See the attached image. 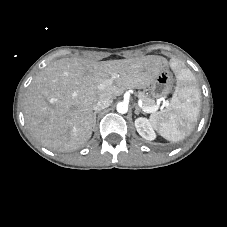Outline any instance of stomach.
<instances>
[{
  "label": "stomach",
  "mask_w": 227,
  "mask_h": 227,
  "mask_svg": "<svg viewBox=\"0 0 227 227\" xmlns=\"http://www.w3.org/2000/svg\"><path fill=\"white\" fill-rule=\"evenodd\" d=\"M174 79L168 68L160 72L151 85L154 98H166L173 89Z\"/></svg>",
  "instance_id": "0dacf381"
}]
</instances>
